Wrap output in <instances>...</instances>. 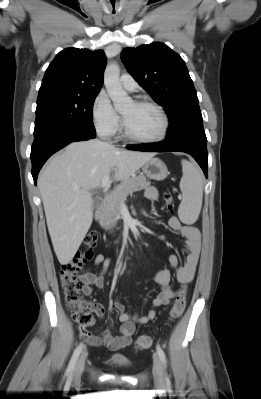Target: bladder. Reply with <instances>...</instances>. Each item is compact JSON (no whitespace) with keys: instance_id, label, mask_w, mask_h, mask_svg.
<instances>
[{"instance_id":"obj_1","label":"bladder","mask_w":261,"mask_h":399,"mask_svg":"<svg viewBox=\"0 0 261 399\" xmlns=\"http://www.w3.org/2000/svg\"><path fill=\"white\" fill-rule=\"evenodd\" d=\"M107 363L115 367H128L130 362L127 359L111 356L107 359Z\"/></svg>"}]
</instances>
